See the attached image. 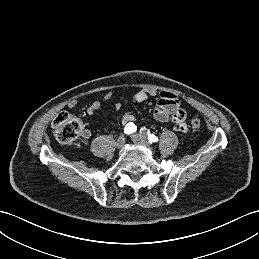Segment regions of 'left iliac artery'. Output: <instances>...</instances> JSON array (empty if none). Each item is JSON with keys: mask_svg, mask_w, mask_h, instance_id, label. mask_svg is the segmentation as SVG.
Returning a JSON list of instances; mask_svg holds the SVG:
<instances>
[{"mask_svg": "<svg viewBox=\"0 0 259 259\" xmlns=\"http://www.w3.org/2000/svg\"><path fill=\"white\" fill-rule=\"evenodd\" d=\"M143 132H141L142 134ZM147 139L149 141V143H154V142H157L158 141V138L154 135V134H150L149 131H148V134H147ZM145 138V136H143Z\"/></svg>", "mask_w": 259, "mask_h": 259, "instance_id": "44dca946", "label": "left iliac artery"}]
</instances>
